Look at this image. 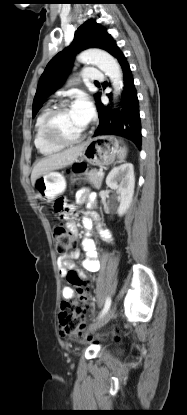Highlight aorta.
<instances>
[{
  "mask_svg": "<svg viewBox=\"0 0 187 415\" xmlns=\"http://www.w3.org/2000/svg\"><path fill=\"white\" fill-rule=\"evenodd\" d=\"M77 60L83 64L97 66L107 75L114 89V96L117 97L123 88V74L117 60L108 52L100 49H88L82 52Z\"/></svg>",
  "mask_w": 187,
  "mask_h": 415,
  "instance_id": "1",
  "label": "aorta"
}]
</instances>
